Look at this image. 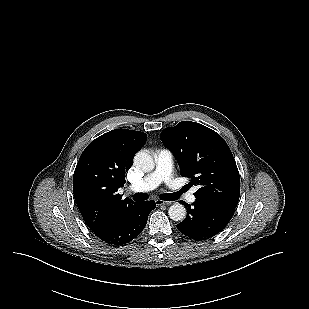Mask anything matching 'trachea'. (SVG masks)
Returning a JSON list of instances; mask_svg holds the SVG:
<instances>
[{
    "label": "trachea",
    "mask_w": 309,
    "mask_h": 309,
    "mask_svg": "<svg viewBox=\"0 0 309 309\" xmlns=\"http://www.w3.org/2000/svg\"><path fill=\"white\" fill-rule=\"evenodd\" d=\"M187 190H188V187L184 186L180 192L161 194L160 199H162L164 201H175L180 197L182 192H185ZM133 199L135 201H145V200L148 199V195H146L144 193H136V194L133 195Z\"/></svg>",
    "instance_id": "trachea-1"
}]
</instances>
